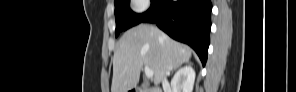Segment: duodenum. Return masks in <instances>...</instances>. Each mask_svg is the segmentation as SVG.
I'll return each instance as SVG.
<instances>
[{"label":"duodenum","instance_id":"duodenum-1","mask_svg":"<svg viewBox=\"0 0 296 92\" xmlns=\"http://www.w3.org/2000/svg\"><path fill=\"white\" fill-rule=\"evenodd\" d=\"M130 92H154V91L151 89L133 88L130 90Z\"/></svg>","mask_w":296,"mask_h":92}]
</instances>
